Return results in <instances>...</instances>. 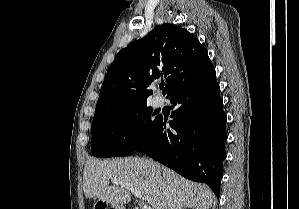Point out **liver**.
Listing matches in <instances>:
<instances>
[{
    "instance_id": "obj_1",
    "label": "liver",
    "mask_w": 299,
    "mask_h": 209,
    "mask_svg": "<svg viewBox=\"0 0 299 209\" xmlns=\"http://www.w3.org/2000/svg\"><path fill=\"white\" fill-rule=\"evenodd\" d=\"M110 180L120 183L110 186ZM128 186L137 189L151 209H158L161 201L167 209H209L215 203L214 193L208 186L187 180L152 160L128 157L86 162L83 190L87 198L97 197L122 207L131 200Z\"/></svg>"
}]
</instances>
